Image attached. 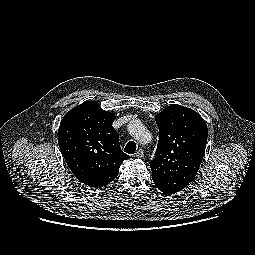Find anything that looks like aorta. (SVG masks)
<instances>
[{
  "instance_id": "aorta-1",
  "label": "aorta",
  "mask_w": 255,
  "mask_h": 255,
  "mask_svg": "<svg viewBox=\"0 0 255 255\" xmlns=\"http://www.w3.org/2000/svg\"><path fill=\"white\" fill-rule=\"evenodd\" d=\"M128 131L131 135L137 137L138 139H141V137L145 133V128L142 122L136 119L128 124Z\"/></svg>"
}]
</instances>
